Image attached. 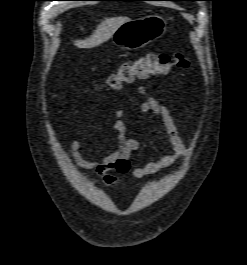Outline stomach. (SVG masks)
I'll return each instance as SVG.
<instances>
[{
    "instance_id": "stomach-1",
    "label": "stomach",
    "mask_w": 247,
    "mask_h": 265,
    "mask_svg": "<svg viewBox=\"0 0 247 265\" xmlns=\"http://www.w3.org/2000/svg\"><path fill=\"white\" fill-rule=\"evenodd\" d=\"M167 22L160 15H148L122 24L112 37L113 43L125 50L140 49L160 38Z\"/></svg>"
}]
</instances>
